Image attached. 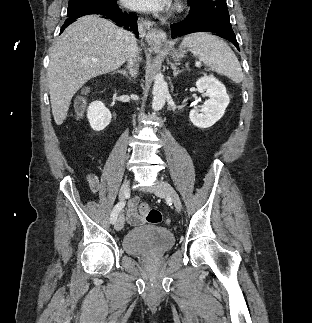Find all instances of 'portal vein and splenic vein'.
Wrapping results in <instances>:
<instances>
[{"label":"portal vein and splenic vein","instance_id":"portal-vein-and-splenic-vein-1","mask_svg":"<svg viewBox=\"0 0 312 323\" xmlns=\"http://www.w3.org/2000/svg\"><path fill=\"white\" fill-rule=\"evenodd\" d=\"M93 62H97V60H93ZM196 66H201L200 62H196Z\"/></svg>","mask_w":312,"mask_h":323}]
</instances>
